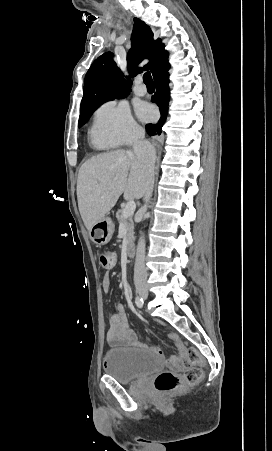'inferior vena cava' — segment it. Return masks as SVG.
Masks as SVG:
<instances>
[{
  "mask_svg": "<svg viewBox=\"0 0 272 451\" xmlns=\"http://www.w3.org/2000/svg\"><path fill=\"white\" fill-rule=\"evenodd\" d=\"M144 132H139L136 138L133 140L134 154H136L139 162L143 164L144 170H146V188H145V202H149L154 186V166L156 160V152L149 144V142H143ZM143 210H146V206H143ZM134 283L136 287H142L147 283V271L145 267V241L139 239L135 265H134Z\"/></svg>",
  "mask_w": 272,
  "mask_h": 451,
  "instance_id": "inferior-vena-cava-1",
  "label": "inferior vena cava"
}]
</instances>
